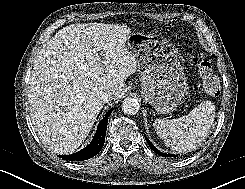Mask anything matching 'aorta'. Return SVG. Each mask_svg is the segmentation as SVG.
Listing matches in <instances>:
<instances>
[{"instance_id": "762f6f07", "label": "aorta", "mask_w": 245, "mask_h": 189, "mask_svg": "<svg viewBox=\"0 0 245 189\" xmlns=\"http://www.w3.org/2000/svg\"><path fill=\"white\" fill-rule=\"evenodd\" d=\"M139 103L134 98H126L122 103V110L127 115H135L139 111Z\"/></svg>"}]
</instances>
